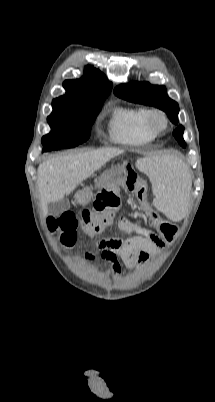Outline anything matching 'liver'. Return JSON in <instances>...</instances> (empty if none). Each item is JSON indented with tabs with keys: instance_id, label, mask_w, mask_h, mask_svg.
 Returning <instances> with one entry per match:
<instances>
[{
	"instance_id": "6515ba94",
	"label": "liver",
	"mask_w": 215,
	"mask_h": 402,
	"mask_svg": "<svg viewBox=\"0 0 215 402\" xmlns=\"http://www.w3.org/2000/svg\"><path fill=\"white\" fill-rule=\"evenodd\" d=\"M122 153L120 149L103 148L60 155L42 162L37 171V187L44 214H47L49 202L59 201L71 194L95 171Z\"/></svg>"
}]
</instances>
